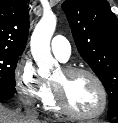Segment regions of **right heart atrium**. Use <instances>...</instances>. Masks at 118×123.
I'll return each instance as SVG.
<instances>
[{"mask_svg": "<svg viewBox=\"0 0 118 123\" xmlns=\"http://www.w3.org/2000/svg\"><path fill=\"white\" fill-rule=\"evenodd\" d=\"M16 89L21 99L28 104L43 101L49 85L39 76L36 67L30 59H22L15 70Z\"/></svg>", "mask_w": 118, "mask_h": 123, "instance_id": "right-heart-atrium-1", "label": "right heart atrium"}]
</instances>
